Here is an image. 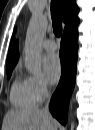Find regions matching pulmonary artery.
<instances>
[{
  "label": "pulmonary artery",
  "instance_id": "e3ab8cb5",
  "mask_svg": "<svg viewBox=\"0 0 95 130\" xmlns=\"http://www.w3.org/2000/svg\"><path fill=\"white\" fill-rule=\"evenodd\" d=\"M43 48L47 51H55L57 49V44L54 40L48 39L43 42Z\"/></svg>",
  "mask_w": 95,
  "mask_h": 130
}]
</instances>
